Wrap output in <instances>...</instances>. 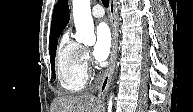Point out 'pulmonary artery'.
Wrapping results in <instances>:
<instances>
[{
	"mask_svg": "<svg viewBox=\"0 0 193 112\" xmlns=\"http://www.w3.org/2000/svg\"><path fill=\"white\" fill-rule=\"evenodd\" d=\"M91 13L94 18H102L104 16V10L100 5L93 6Z\"/></svg>",
	"mask_w": 193,
	"mask_h": 112,
	"instance_id": "1",
	"label": "pulmonary artery"
}]
</instances>
